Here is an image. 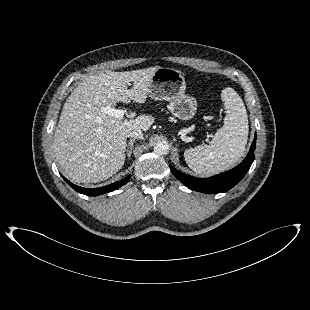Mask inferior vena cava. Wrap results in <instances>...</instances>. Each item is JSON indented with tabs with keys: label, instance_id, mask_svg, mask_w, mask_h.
<instances>
[{
	"label": "inferior vena cava",
	"instance_id": "602c4592",
	"mask_svg": "<svg viewBox=\"0 0 310 310\" xmlns=\"http://www.w3.org/2000/svg\"><path fill=\"white\" fill-rule=\"evenodd\" d=\"M127 137L143 139V133L140 129H133L127 133Z\"/></svg>",
	"mask_w": 310,
	"mask_h": 310
}]
</instances>
